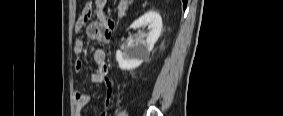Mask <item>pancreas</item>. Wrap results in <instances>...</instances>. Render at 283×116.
Instances as JSON below:
<instances>
[{"label":"pancreas","instance_id":"1","mask_svg":"<svg viewBox=\"0 0 283 116\" xmlns=\"http://www.w3.org/2000/svg\"><path fill=\"white\" fill-rule=\"evenodd\" d=\"M126 5L124 3H120L118 6V16L122 18L125 16Z\"/></svg>","mask_w":283,"mask_h":116}]
</instances>
